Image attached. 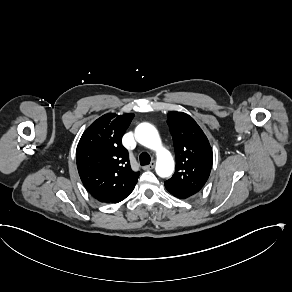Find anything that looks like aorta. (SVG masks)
Instances as JSON below:
<instances>
[{"instance_id": "aorta-1", "label": "aorta", "mask_w": 292, "mask_h": 292, "mask_svg": "<svg viewBox=\"0 0 292 292\" xmlns=\"http://www.w3.org/2000/svg\"><path fill=\"white\" fill-rule=\"evenodd\" d=\"M136 139L155 153L157 174L161 177L170 176L174 171V160L171 152L163 145L156 128L148 123L140 124L136 128Z\"/></svg>"}]
</instances>
